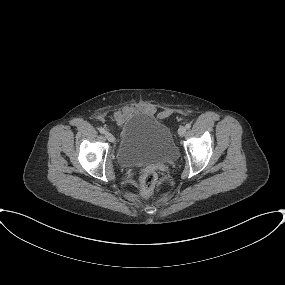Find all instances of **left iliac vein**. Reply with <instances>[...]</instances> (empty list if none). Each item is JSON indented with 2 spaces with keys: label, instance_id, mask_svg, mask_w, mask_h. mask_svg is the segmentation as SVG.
Segmentation results:
<instances>
[{
  "label": "left iliac vein",
  "instance_id": "left-iliac-vein-1",
  "mask_svg": "<svg viewBox=\"0 0 285 285\" xmlns=\"http://www.w3.org/2000/svg\"><path fill=\"white\" fill-rule=\"evenodd\" d=\"M178 134L180 136H184L186 134V127L180 126L179 129H178Z\"/></svg>",
  "mask_w": 285,
  "mask_h": 285
}]
</instances>
